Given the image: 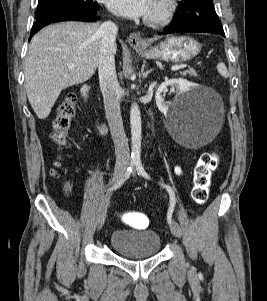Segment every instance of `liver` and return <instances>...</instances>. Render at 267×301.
<instances>
[{"mask_svg": "<svg viewBox=\"0 0 267 301\" xmlns=\"http://www.w3.org/2000/svg\"><path fill=\"white\" fill-rule=\"evenodd\" d=\"M98 23L63 22L37 33L25 60L28 100L39 119L51 112L61 91L89 80L98 67ZM114 53L117 50L114 45ZM73 64L74 67L69 66Z\"/></svg>", "mask_w": 267, "mask_h": 301, "instance_id": "6515ba94", "label": "liver"}]
</instances>
